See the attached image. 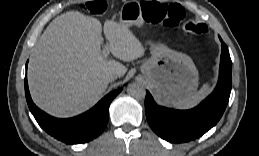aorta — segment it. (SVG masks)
<instances>
[{
  "instance_id": "762f6f07",
  "label": "aorta",
  "mask_w": 259,
  "mask_h": 156,
  "mask_svg": "<svg viewBox=\"0 0 259 156\" xmlns=\"http://www.w3.org/2000/svg\"><path fill=\"white\" fill-rule=\"evenodd\" d=\"M127 93L130 97L136 100H142L146 95L145 88L139 83L129 84L127 87Z\"/></svg>"
}]
</instances>
